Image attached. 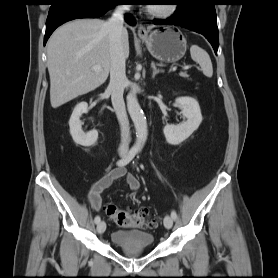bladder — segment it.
<instances>
[{"mask_svg": "<svg viewBox=\"0 0 278 278\" xmlns=\"http://www.w3.org/2000/svg\"><path fill=\"white\" fill-rule=\"evenodd\" d=\"M111 242L121 248H148L154 243V235L142 230H116L110 235Z\"/></svg>", "mask_w": 278, "mask_h": 278, "instance_id": "bladder-1", "label": "bladder"}]
</instances>
